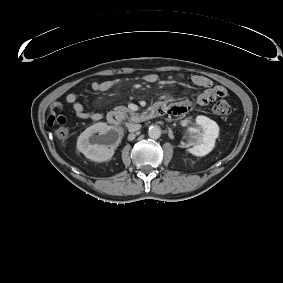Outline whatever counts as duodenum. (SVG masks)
Here are the masks:
<instances>
[{
  "label": "duodenum",
  "instance_id": "obj_1",
  "mask_svg": "<svg viewBox=\"0 0 283 283\" xmlns=\"http://www.w3.org/2000/svg\"><path fill=\"white\" fill-rule=\"evenodd\" d=\"M152 112L156 115H160L163 114L164 112V105L159 103L156 104L153 109ZM107 121L109 124H111L112 126H118L120 124V117L116 114V113H109L108 117H107Z\"/></svg>",
  "mask_w": 283,
  "mask_h": 283
}]
</instances>
